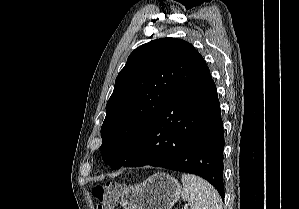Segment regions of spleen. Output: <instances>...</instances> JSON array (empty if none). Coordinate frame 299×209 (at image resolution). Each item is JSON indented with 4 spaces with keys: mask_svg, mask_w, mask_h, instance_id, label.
Segmentation results:
<instances>
[{
    "mask_svg": "<svg viewBox=\"0 0 299 209\" xmlns=\"http://www.w3.org/2000/svg\"><path fill=\"white\" fill-rule=\"evenodd\" d=\"M182 199L191 209H222L217 190L206 180L193 174L182 175Z\"/></svg>",
    "mask_w": 299,
    "mask_h": 209,
    "instance_id": "1",
    "label": "spleen"
}]
</instances>
